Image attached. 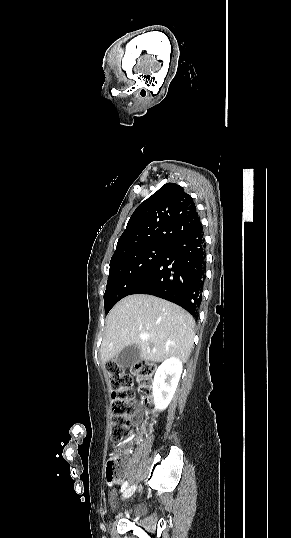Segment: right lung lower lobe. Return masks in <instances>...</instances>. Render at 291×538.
Wrapping results in <instances>:
<instances>
[{
  "label": "right lung lower lobe",
  "mask_w": 291,
  "mask_h": 538,
  "mask_svg": "<svg viewBox=\"0 0 291 538\" xmlns=\"http://www.w3.org/2000/svg\"><path fill=\"white\" fill-rule=\"evenodd\" d=\"M205 245L201 225L171 245L130 295H154L180 305L197 317L205 280Z\"/></svg>",
  "instance_id": "obj_1"
}]
</instances>
